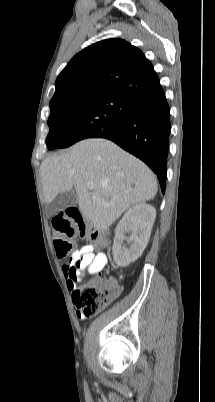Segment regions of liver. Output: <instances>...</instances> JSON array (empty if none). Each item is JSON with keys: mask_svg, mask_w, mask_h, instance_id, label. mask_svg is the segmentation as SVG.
<instances>
[{"mask_svg": "<svg viewBox=\"0 0 215 402\" xmlns=\"http://www.w3.org/2000/svg\"><path fill=\"white\" fill-rule=\"evenodd\" d=\"M40 173L46 203L74 188L83 218L100 231L129 207L153 199L158 190L154 173L142 161L106 139H86L46 158Z\"/></svg>", "mask_w": 215, "mask_h": 402, "instance_id": "1", "label": "liver"}]
</instances>
